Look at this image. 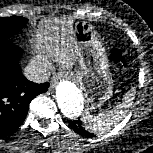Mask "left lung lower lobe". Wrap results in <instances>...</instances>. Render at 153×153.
<instances>
[{"label": "left lung lower lobe", "mask_w": 153, "mask_h": 153, "mask_svg": "<svg viewBox=\"0 0 153 153\" xmlns=\"http://www.w3.org/2000/svg\"><path fill=\"white\" fill-rule=\"evenodd\" d=\"M69 125L76 133H78L81 136L88 137V138L94 137L92 133L84 130L82 123L79 119L74 121H69Z\"/></svg>", "instance_id": "1"}]
</instances>
